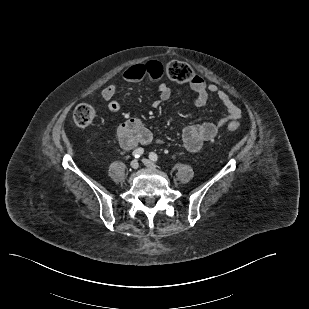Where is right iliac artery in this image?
Returning <instances> with one entry per match:
<instances>
[{"label":"right iliac artery","mask_w":309,"mask_h":309,"mask_svg":"<svg viewBox=\"0 0 309 309\" xmlns=\"http://www.w3.org/2000/svg\"><path fill=\"white\" fill-rule=\"evenodd\" d=\"M144 153V149L143 148H137L133 151V156L135 158H139L140 156H142V154Z\"/></svg>","instance_id":"obj_1"}]
</instances>
